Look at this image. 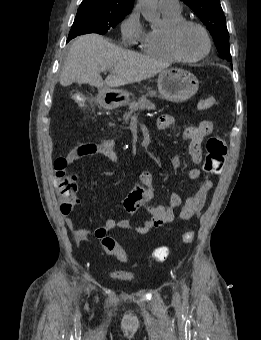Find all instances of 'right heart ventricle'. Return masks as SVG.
Returning <instances> with one entry per match:
<instances>
[{
  "label": "right heart ventricle",
  "mask_w": 261,
  "mask_h": 340,
  "mask_svg": "<svg viewBox=\"0 0 261 340\" xmlns=\"http://www.w3.org/2000/svg\"><path fill=\"white\" fill-rule=\"evenodd\" d=\"M163 12L164 25L160 29H151L143 31L139 40V46L146 55L165 61H175L177 58L170 51L167 44V31L169 27L182 19L181 12L173 13L169 11Z\"/></svg>",
  "instance_id": "obj_1"
}]
</instances>
